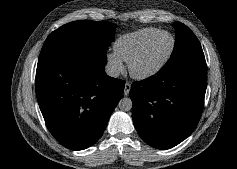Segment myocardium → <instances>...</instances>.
Here are the masks:
<instances>
[{
	"instance_id": "f54148a6",
	"label": "myocardium",
	"mask_w": 237,
	"mask_h": 169,
	"mask_svg": "<svg viewBox=\"0 0 237 169\" xmlns=\"http://www.w3.org/2000/svg\"><path fill=\"white\" fill-rule=\"evenodd\" d=\"M162 34H168L171 38V47H170V50L167 53V55L155 66H153L149 69L143 70V71L137 70L136 69L137 62L143 57L144 53L149 48V46L154 42V40ZM174 49H175V38H174L173 34L168 31H164V30L157 32L146 43L143 44V46L136 52V54L129 61L128 68H129L130 74L132 75V77L139 79V80H144V79H147V78L155 75L169 61V59L173 55Z\"/></svg>"
}]
</instances>
